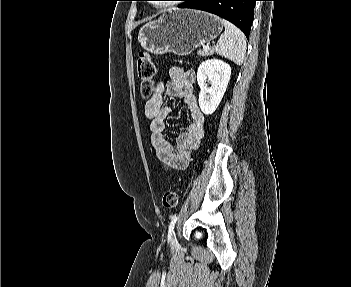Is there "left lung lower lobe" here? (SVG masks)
<instances>
[{"label":"left lung lower lobe","instance_id":"1","mask_svg":"<svg viewBox=\"0 0 351 287\" xmlns=\"http://www.w3.org/2000/svg\"><path fill=\"white\" fill-rule=\"evenodd\" d=\"M179 8L203 10L222 17L239 27L247 38L254 18L257 0H182Z\"/></svg>","mask_w":351,"mask_h":287}]
</instances>
